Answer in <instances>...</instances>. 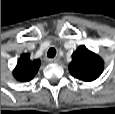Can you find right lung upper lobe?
Instances as JSON below:
<instances>
[{
	"instance_id": "1",
	"label": "right lung upper lobe",
	"mask_w": 115,
	"mask_h": 114,
	"mask_svg": "<svg viewBox=\"0 0 115 114\" xmlns=\"http://www.w3.org/2000/svg\"><path fill=\"white\" fill-rule=\"evenodd\" d=\"M40 60H31L29 54H22L13 71V76L21 82L30 81L38 72Z\"/></svg>"
}]
</instances>
